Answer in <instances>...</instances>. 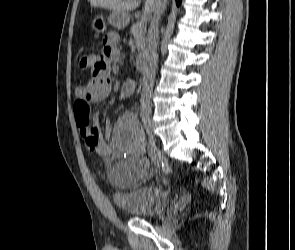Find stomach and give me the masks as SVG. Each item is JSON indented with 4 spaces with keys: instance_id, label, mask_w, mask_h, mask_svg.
<instances>
[{
    "instance_id": "obj_1",
    "label": "stomach",
    "mask_w": 295,
    "mask_h": 250,
    "mask_svg": "<svg viewBox=\"0 0 295 250\" xmlns=\"http://www.w3.org/2000/svg\"><path fill=\"white\" fill-rule=\"evenodd\" d=\"M129 21V17L126 12L112 11L108 17V22L113 27L118 29L124 28ZM96 30L103 31L105 29V21L103 18H100L95 23Z\"/></svg>"
}]
</instances>
